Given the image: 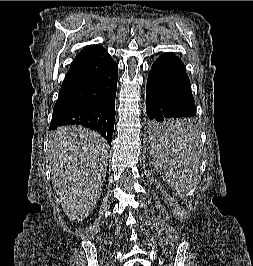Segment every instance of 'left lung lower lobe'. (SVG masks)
Returning a JSON list of instances; mask_svg holds the SVG:
<instances>
[{
    "instance_id": "obj_1",
    "label": "left lung lower lobe",
    "mask_w": 253,
    "mask_h": 266,
    "mask_svg": "<svg viewBox=\"0 0 253 266\" xmlns=\"http://www.w3.org/2000/svg\"><path fill=\"white\" fill-rule=\"evenodd\" d=\"M146 113L151 135L161 139L186 137L196 115L189 77L183 62L172 53L152 65L146 86Z\"/></svg>"
}]
</instances>
